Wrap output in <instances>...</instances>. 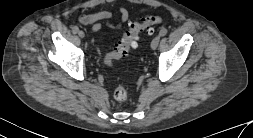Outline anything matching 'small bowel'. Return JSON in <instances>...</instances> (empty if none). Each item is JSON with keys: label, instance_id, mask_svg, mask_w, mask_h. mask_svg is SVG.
Segmentation results:
<instances>
[{"label": "small bowel", "instance_id": "obj_1", "mask_svg": "<svg viewBox=\"0 0 253 138\" xmlns=\"http://www.w3.org/2000/svg\"><path fill=\"white\" fill-rule=\"evenodd\" d=\"M145 10H141V12H144ZM120 18L117 23H107V27L110 29H116L120 28L124 23H126L129 19V12L125 8H121L119 11ZM112 16V12L108 9H102L96 13L91 14H82L79 16L78 21L83 25H91L92 32L96 33L98 32L101 27L102 21L110 19Z\"/></svg>", "mask_w": 253, "mask_h": 138}]
</instances>
